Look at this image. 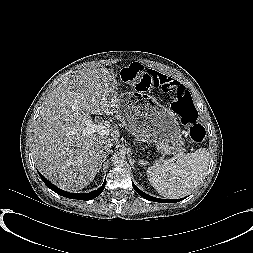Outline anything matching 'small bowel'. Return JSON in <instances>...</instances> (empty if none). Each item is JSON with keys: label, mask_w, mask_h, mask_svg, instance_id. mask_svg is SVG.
I'll list each match as a JSON object with an SVG mask.
<instances>
[{"label": "small bowel", "mask_w": 253, "mask_h": 253, "mask_svg": "<svg viewBox=\"0 0 253 253\" xmlns=\"http://www.w3.org/2000/svg\"><path fill=\"white\" fill-rule=\"evenodd\" d=\"M135 85L139 89L165 90L180 85V83L168 75L150 70L147 72L146 78L138 81Z\"/></svg>", "instance_id": "1"}]
</instances>
